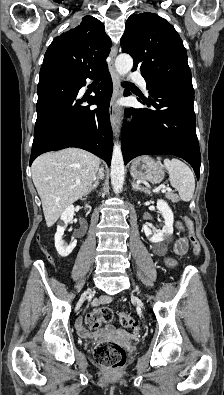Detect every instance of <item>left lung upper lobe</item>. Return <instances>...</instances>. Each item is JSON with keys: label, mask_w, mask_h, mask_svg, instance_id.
Masks as SVG:
<instances>
[{"label": "left lung upper lobe", "mask_w": 224, "mask_h": 395, "mask_svg": "<svg viewBox=\"0 0 224 395\" xmlns=\"http://www.w3.org/2000/svg\"><path fill=\"white\" fill-rule=\"evenodd\" d=\"M122 52L134 59L147 88L160 85L193 89L183 42L174 27L154 13L132 14L121 38Z\"/></svg>", "instance_id": "1"}]
</instances>
